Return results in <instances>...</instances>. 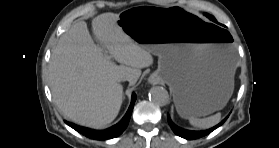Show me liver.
Returning a JSON list of instances; mask_svg holds the SVG:
<instances>
[{"label":"liver","mask_w":279,"mask_h":148,"mask_svg":"<svg viewBox=\"0 0 279 148\" xmlns=\"http://www.w3.org/2000/svg\"><path fill=\"white\" fill-rule=\"evenodd\" d=\"M118 20L114 13L92 20L100 45L94 43L86 22L79 21L52 51L48 80L53 100L66 118L80 125L102 128L111 123L122 105L119 78L126 76L134 85L141 69L153 64L151 52L125 34Z\"/></svg>","instance_id":"liver-1"}]
</instances>
